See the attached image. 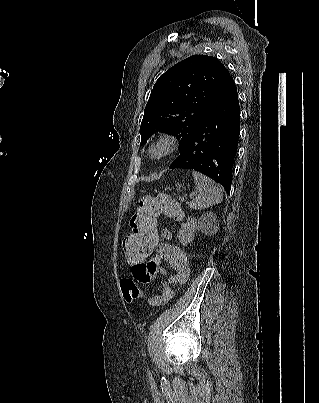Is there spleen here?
Instances as JSON below:
<instances>
[{
    "mask_svg": "<svg viewBox=\"0 0 319 403\" xmlns=\"http://www.w3.org/2000/svg\"><path fill=\"white\" fill-rule=\"evenodd\" d=\"M192 176L198 196L189 203L190 208L203 209L222 201L223 194L219 185L200 172L193 171Z\"/></svg>",
    "mask_w": 319,
    "mask_h": 403,
    "instance_id": "obj_1",
    "label": "spleen"
}]
</instances>
